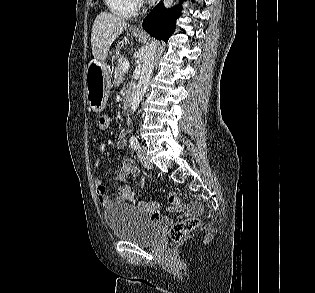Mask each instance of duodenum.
Masks as SVG:
<instances>
[{
  "mask_svg": "<svg viewBox=\"0 0 315 293\" xmlns=\"http://www.w3.org/2000/svg\"><path fill=\"white\" fill-rule=\"evenodd\" d=\"M132 100H133V92L128 91L124 99V103H123L124 110H128L130 108L132 104Z\"/></svg>",
  "mask_w": 315,
  "mask_h": 293,
  "instance_id": "duodenum-1",
  "label": "duodenum"
}]
</instances>
